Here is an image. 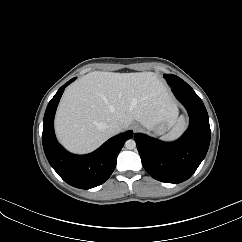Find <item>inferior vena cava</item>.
Wrapping results in <instances>:
<instances>
[{"label": "inferior vena cava", "instance_id": "1", "mask_svg": "<svg viewBox=\"0 0 242 242\" xmlns=\"http://www.w3.org/2000/svg\"><path fill=\"white\" fill-rule=\"evenodd\" d=\"M107 131L111 135H116V134H118V133H120L122 131V126L119 123H117V122H113V123H110L107 126Z\"/></svg>", "mask_w": 242, "mask_h": 242}]
</instances>
